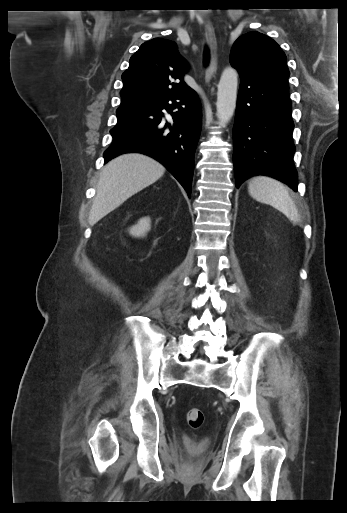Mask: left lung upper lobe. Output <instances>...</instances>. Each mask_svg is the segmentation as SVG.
Listing matches in <instances>:
<instances>
[{
    "mask_svg": "<svg viewBox=\"0 0 347 513\" xmlns=\"http://www.w3.org/2000/svg\"><path fill=\"white\" fill-rule=\"evenodd\" d=\"M230 63L241 76L250 78L287 79L290 74L279 45L259 32L246 33L235 41Z\"/></svg>",
    "mask_w": 347,
    "mask_h": 513,
    "instance_id": "5c2ea615",
    "label": "left lung upper lobe"
}]
</instances>
